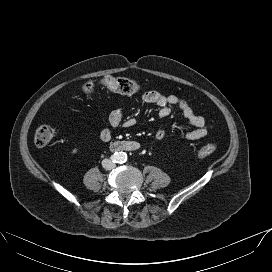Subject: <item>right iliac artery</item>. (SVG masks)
<instances>
[{
  "label": "right iliac artery",
  "instance_id": "82829eb1",
  "mask_svg": "<svg viewBox=\"0 0 272 272\" xmlns=\"http://www.w3.org/2000/svg\"><path fill=\"white\" fill-rule=\"evenodd\" d=\"M111 159L113 162H117V158L115 156H112Z\"/></svg>",
  "mask_w": 272,
  "mask_h": 272
}]
</instances>
